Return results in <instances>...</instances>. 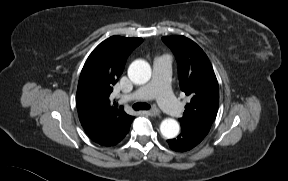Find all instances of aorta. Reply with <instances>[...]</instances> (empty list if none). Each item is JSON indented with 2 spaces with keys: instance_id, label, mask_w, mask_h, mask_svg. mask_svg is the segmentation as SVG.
Wrapping results in <instances>:
<instances>
[{
  "instance_id": "obj_1",
  "label": "aorta",
  "mask_w": 288,
  "mask_h": 181,
  "mask_svg": "<svg viewBox=\"0 0 288 181\" xmlns=\"http://www.w3.org/2000/svg\"><path fill=\"white\" fill-rule=\"evenodd\" d=\"M128 76L135 84H145L151 78V67L145 60H135L129 66ZM179 130L178 122L172 118H166L160 124V132L167 139L175 138Z\"/></svg>"
}]
</instances>
